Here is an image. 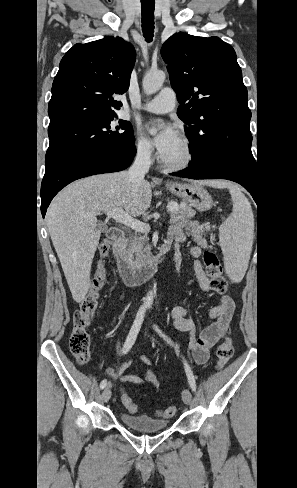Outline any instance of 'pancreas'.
Instances as JSON below:
<instances>
[{
	"label": "pancreas",
	"mask_w": 297,
	"mask_h": 488,
	"mask_svg": "<svg viewBox=\"0 0 297 488\" xmlns=\"http://www.w3.org/2000/svg\"><path fill=\"white\" fill-rule=\"evenodd\" d=\"M177 206L176 210L171 211V222L183 227H190L192 225L199 226L198 221H190V219L195 215V211L191 208V206L187 205H180L176 202H171ZM203 231H197L194 235L195 241H202L200 233ZM148 237L146 235L143 236H133V238L124 241L123 243V255L124 258L130 263L134 265L142 264L146 261V259L150 255V247L147 245L144 248V245L147 243ZM135 255V260H134Z\"/></svg>",
	"instance_id": "obj_1"
}]
</instances>
